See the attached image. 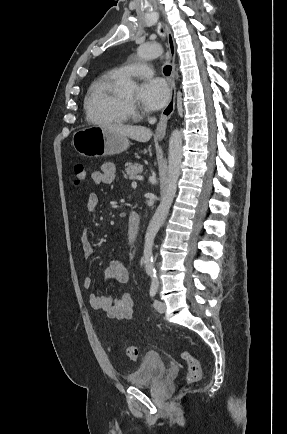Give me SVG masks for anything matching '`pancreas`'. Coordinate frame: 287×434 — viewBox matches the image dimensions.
Instances as JSON below:
<instances>
[{
  "label": "pancreas",
  "mask_w": 287,
  "mask_h": 434,
  "mask_svg": "<svg viewBox=\"0 0 287 434\" xmlns=\"http://www.w3.org/2000/svg\"><path fill=\"white\" fill-rule=\"evenodd\" d=\"M125 171L127 173V177L130 180H134L138 175H140L143 171V166L138 163H126Z\"/></svg>",
  "instance_id": "cf45deb5"
}]
</instances>
